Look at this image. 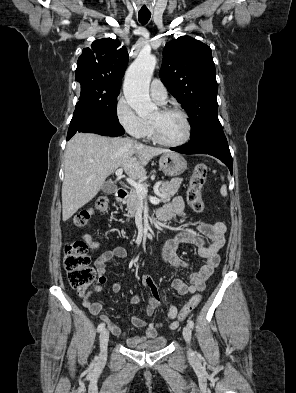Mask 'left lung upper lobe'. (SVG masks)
I'll return each instance as SVG.
<instances>
[{
  "instance_id": "5c2ea615",
  "label": "left lung upper lobe",
  "mask_w": 296,
  "mask_h": 393,
  "mask_svg": "<svg viewBox=\"0 0 296 393\" xmlns=\"http://www.w3.org/2000/svg\"><path fill=\"white\" fill-rule=\"evenodd\" d=\"M160 77L189 116V142L223 131L218 119L215 64L209 46L189 36L168 42Z\"/></svg>"
}]
</instances>
